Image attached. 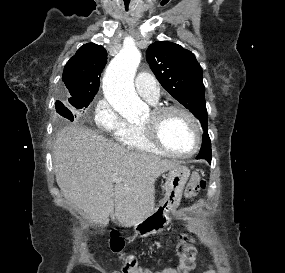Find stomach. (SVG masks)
I'll list each match as a JSON object with an SVG mask.
<instances>
[{
	"label": "stomach",
	"mask_w": 285,
	"mask_h": 273,
	"mask_svg": "<svg viewBox=\"0 0 285 273\" xmlns=\"http://www.w3.org/2000/svg\"><path fill=\"white\" fill-rule=\"evenodd\" d=\"M189 176L190 170L183 165H178L169 170L165 196L149 217L135 224V229L138 233L144 235L155 234L158 232V230L152 227L155 220L162 221L163 224L169 222V214L179 206L182 192Z\"/></svg>",
	"instance_id": "0dacf381"
}]
</instances>
